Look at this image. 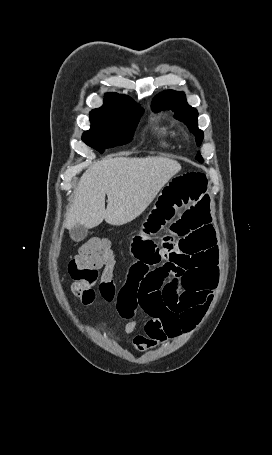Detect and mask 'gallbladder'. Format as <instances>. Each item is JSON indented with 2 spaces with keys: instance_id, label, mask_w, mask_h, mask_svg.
Wrapping results in <instances>:
<instances>
[{
  "instance_id": "gallbladder-1",
  "label": "gallbladder",
  "mask_w": 272,
  "mask_h": 455,
  "mask_svg": "<svg viewBox=\"0 0 272 455\" xmlns=\"http://www.w3.org/2000/svg\"><path fill=\"white\" fill-rule=\"evenodd\" d=\"M69 233H70V237L74 241H81L87 236L88 229L86 227H84L83 225L78 224V225H75L74 227H72L69 230Z\"/></svg>"
}]
</instances>
